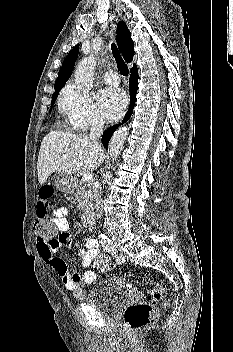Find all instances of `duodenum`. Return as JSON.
I'll return each instance as SVG.
<instances>
[{
	"label": "duodenum",
	"mask_w": 233,
	"mask_h": 352,
	"mask_svg": "<svg viewBox=\"0 0 233 352\" xmlns=\"http://www.w3.org/2000/svg\"><path fill=\"white\" fill-rule=\"evenodd\" d=\"M84 220L87 225L93 227L94 226V218H93V213L91 210H86L84 212Z\"/></svg>",
	"instance_id": "duodenum-1"
}]
</instances>
